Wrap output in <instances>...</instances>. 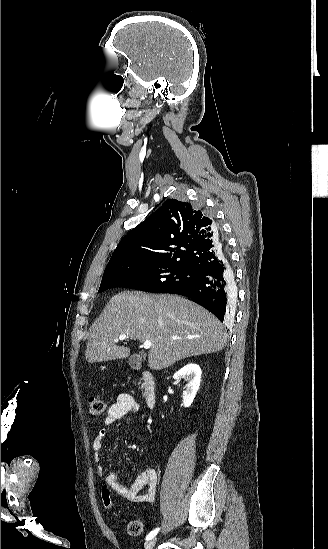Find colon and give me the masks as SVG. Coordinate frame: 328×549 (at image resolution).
<instances>
[{
    "mask_svg": "<svg viewBox=\"0 0 328 549\" xmlns=\"http://www.w3.org/2000/svg\"><path fill=\"white\" fill-rule=\"evenodd\" d=\"M89 411L92 415H102L106 410L105 401L97 395H93L89 398ZM101 501L104 509L110 510L113 508V501L111 498L110 490L105 484L101 490ZM143 525L140 520H132L128 524V533L132 536H139L142 533Z\"/></svg>",
    "mask_w": 328,
    "mask_h": 549,
    "instance_id": "colon-1",
    "label": "colon"
}]
</instances>
